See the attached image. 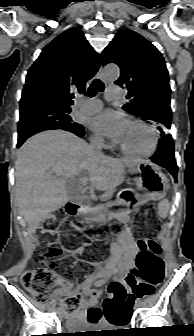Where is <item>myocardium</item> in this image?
<instances>
[{"mask_svg": "<svg viewBox=\"0 0 194 336\" xmlns=\"http://www.w3.org/2000/svg\"><path fill=\"white\" fill-rule=\"evenodd\" d=\"M127 123L136 124V125L144 128L145 130H147L150 133L151 139H152L151 147L147 151H144V152H133V151L127 150L125 147L118 144L117 145L118 149L123 154H125L127 156H131V157H150V156H152L157 151L158 146H159V137H158V133H157L156 129L153 128L148 123H146V122H144L140 119H136V118L128 119Z\"/></svg>", "mask_w": 194, "mask_h": 336, "instance_id": "obj_1", "label": "myocardium"}]
</instances>
